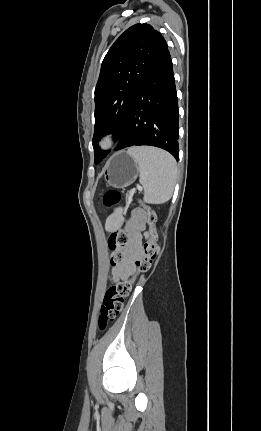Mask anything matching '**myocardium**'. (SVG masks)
<instances>
[{
  "label": "myocardium",
  "instance_id": "obj_1",
  "mask_svg": "<svg viewBox=\"0 0 261 431\" xmlns=\"http://www.w3.org/2000/svg\"><path fill=\"white\" fill-rule=\"evenodd\" d=\"M115 144V134L106 132L99 140V149L103 152L109 151Z\"/></svg>",
  "mask_w": 261,
  "mask_h": 431
}]
</instances>
